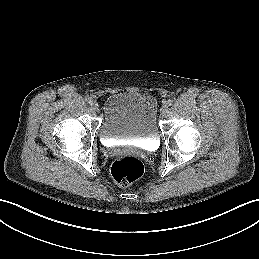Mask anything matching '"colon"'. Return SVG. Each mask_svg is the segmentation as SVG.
<instances>
[{
    "instance_id": "1",
    "label": "colon",
    "mask_w": 259,
    "mask_h": 259,
    "mask_svg": "<svg viewBox=\"0 0 259 259\" xmlns=\"http://www.w3.org/2000/svg\"><path fill=\"white\" fill-rule=\"evenodd\" d=\"M143 164L136 156L118 157L112 164L111 174L120 186H128L143 174Z\"/></svg>"
}]
</instances>
